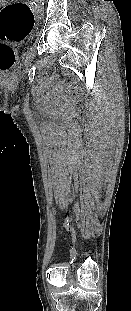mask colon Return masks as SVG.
Returning <instances> with one entry per match:
<instances>
[{
	"instance_id": "obj_1",
	"label": "colon",
	"mask_w": 131,
	"mask_h": 311,
	"mask_svg": "<svg viewBox=\"0 0 131 311\" xmlns=\"http://www.w3.org/2000/svg\"><path fill=\"white\" fill-rule=\"evenodd\" d=\"M34 26V14L27 3L0 1V71H8L14 61L13 49L6 41H23Z\"/></svg>"
}]
</instances>
